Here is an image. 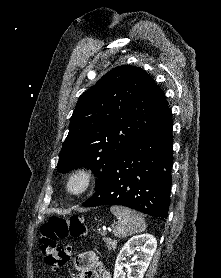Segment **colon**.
<instances>
[{
  "mask_svg": "<svg viewBox=\"0 0 221 278\" xmlns=\"http://www.w3.org/2000/svg\"><path fill=\"white\" fill-rule=\"evenodd\" d=\"M86 235L87 229L80 217L52 216L40 229L39 245L44 262L54 269H62L72 251L61 241L68 237L80 238Z\"/></svg>",
  "mask_w": 221,
  "mask_h": 278,
  "instance_id": "colon-1",
  "label": "colon"
}]
</instances>
